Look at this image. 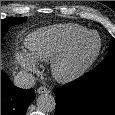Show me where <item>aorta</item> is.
Masks as SVG:
<instances>
[{
	"label": "aorta",
	"mask_w": 115,
	"mask_h": 115,
	"mask_svg": "<svg viewBox=\"0 0 115 115\" xmlns=\"http://www.w3.org/2000/svg\"><path fill=\"white\" fill-rule=\"evenodd\" d=\"M37 106L43 112H52L55 110V98L50 94H41L37 99Z\"/></svg>",
	"instance_id": "obj_1"
}]
</instances>
